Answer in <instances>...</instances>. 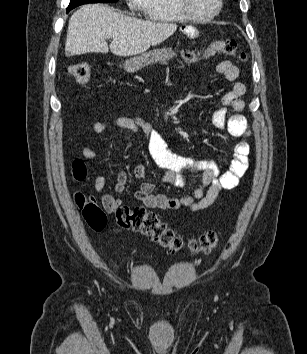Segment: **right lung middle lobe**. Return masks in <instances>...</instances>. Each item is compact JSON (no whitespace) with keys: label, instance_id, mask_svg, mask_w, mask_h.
<instances>
[{"label":"right lung middle lobe","instance_id":"dd1d6c3e","mask_svg":"<svg viewBox=\"0 0 307 354\" xmlns=\"http://www.w3.org/2000/svg\"><path fill=\"white\" fill-rule=\"evenodd\" d=\"M118 0H70V4L67 8V12H69L71 9L82 5V4H86V3H98V2H117Z\"/></svg>","mask_w":307,"mask_h":354}]
</instances>
